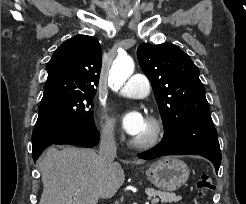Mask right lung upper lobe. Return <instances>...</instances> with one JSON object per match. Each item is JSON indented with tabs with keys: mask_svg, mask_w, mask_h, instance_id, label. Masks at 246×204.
Segmentation results:
<instances>
[{
	"mask_svg": "<svg viewBox=\"0 0 246 204\" xmlns=\"http://www.w3.org/2000/svg\"><path fill=\"white\" fill-rule=\"evenodd\" d=\"M101 64L97 39L85 35L68 39L47 64L48 78L41 101L71 93H95Z\"/></svg>",
	"mask_w": 246,
	"mask_h": 204,
	"instance_id": "obj_1",
	"label": "right lung upper lobe"
}]
</instances>
